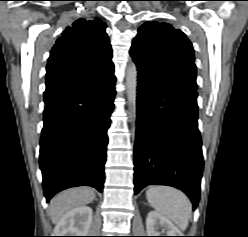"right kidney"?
<instances>
[{"label": "right kidney", "mask_w": 248, "mask_h": 237, "mask_svg": "<svg viewBox=\"0 0 248 237\" xmlns=\"http://www.w3.org/2000/svg\"><path fill=\"white\" fill-rule=\"evenodd\" d=\"M92 208L81 206L66 213L56 226V236H87L92 223Z\"/></svg>", "instance_id": "right-kidney-1"}]
</instances>
